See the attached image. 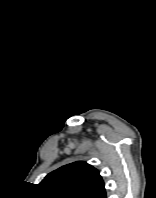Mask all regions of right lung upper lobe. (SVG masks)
Wrapping results in <instances>:
<instances>
[{
    "label": "right lung upper lobe",
    "mask_w": 156,
    "mask_h": 198,
    "mask_svg": "<svg viewBox=\"0 0 156 198\" xmlns=\"http://www.w3.org/2000/svg\"><path fill=\"white\" fill-rule=\"evenodd\" d=\"M38 186L50 198H107L98 170L82 161L49 173Z\"/></svg>",
    "instance_id": "1"
}]
</instances>
